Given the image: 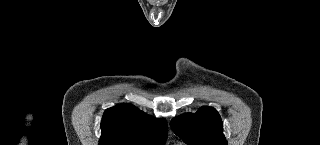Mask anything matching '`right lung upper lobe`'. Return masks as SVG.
I'll list each match as a JSON object with an SVG mask.
<instances>
[{
  "label": "right lung upper lobe",
  "instance_id": "right-lung-upper-lobe-1",
  "mask_svg": "<svg viewBox=\"0 0 320 145\" xmlns=\"http://www.w3.org/2000/svg\"><path fill=\"white\" fill-rule=\"evenodd\" d=\"M166 122L129 104L105 110L99 145H162L167 138Z\"/></svg>",
  "mask_w": 320,
  "mask_h": 145
}]
</instances>
